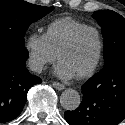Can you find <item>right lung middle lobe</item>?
I'll use <instances>...</instances> for the list:
<instances>
[{"label": "right lung middle lobe", "instance_id": "dd1d6c3e", "mask_svg": "<svg viewBox=\"0 0 125 125\" xmlns=\"http://www.w3.org/2000/svg\"><path fill=\"white\" fill-rule=\"evenodd\" d=\"M53 9L23 0H0V38L25 46L24 36L29 25Z\"/></svg>", "mask_w": 125, "mask_h": 125}]
</instances>
